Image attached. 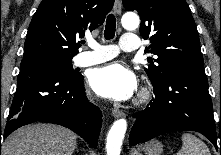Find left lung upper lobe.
I'll return each mask as SVG.
<instances>
[{
  "mask_svg": "<svg viewBox=\"0 0 221 155\" xmlns=\"http://www.w3.org/2000/svg\"><path fill=\"white\" fill-rule=\"evenodd\" d=\"M123 6L138 11L141 36L150 38L149 52L158 56L145 68L152 84L178 68H204L197 28L185 0H123Z\"/></svg>",
  "mask_w": 221,
  "mask_h": 155,
  "instance_id": "left-lung-upper-lobe-1",
  "label": "left lung upper lobe"
}]
</instances>
